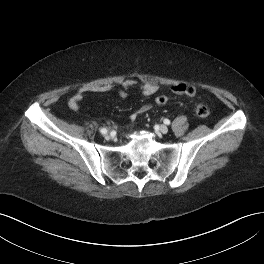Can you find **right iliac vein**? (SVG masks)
<instances>
[{
    "instance_id": "obj_1",
    "label": "right iliac vein",
    "mask_w": 264,
    "mask_h": 264,
    "mask_svg": "<svg viewBox=\"0 0 264 264\" xmlns=\"http://www.w3.org/2000/svg\"><path fill=\"white\" fill-rule=\"evenodd\" d=\"M106 138H109V134L108 133H105L104 135Z\"/></svg>"
}]
</instances>
